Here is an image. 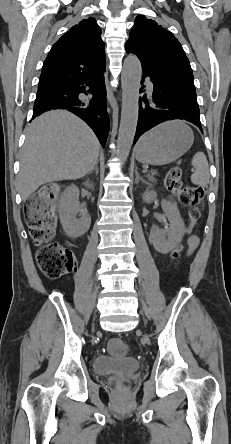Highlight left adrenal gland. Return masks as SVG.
I'll use <instances>...</instances> for the list:
<instances>
[{"instance_id":"obj_1","label":"left adrenal gland","mask_w":231,"mask_h":444,"mask_svg":"<svg viewBox=\"0 0 231 444\" xmlns=\"http://www.w3.org/2000/svg\"><path fill=\"white\" fill-rule=\"evenodd\" d=\"M135 175H136V179H135V183L137 184L139 181L149 184L146 180H144L142 177H140L139 173H138V168L136 167L135 170Z\"/></svg>"}]
</instances>
